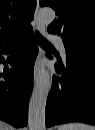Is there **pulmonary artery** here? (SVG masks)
<instances>
[{"mask_svg": "<svg viewBox=\"0 0 95 130\" xmlns=\"http://www.w3.org/2000/svg\"><path fill=\"white\" fill-rule=\"evenodd\" d=\"M51 40L58 46L61 54H62V57L65 59L66 58V51H65V46H64V43L62 42V40L57 37V36H51Z\"/></svg>", "mask_w": 95, "mask_h": 130, "instance_id": "e3ab8cb5", "label": "pulmonary artery"}]
</instances>
